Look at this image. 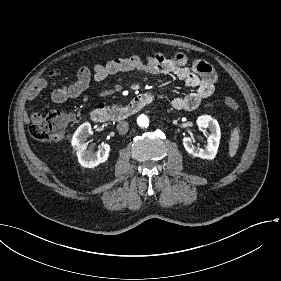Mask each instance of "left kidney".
I'll list each match as a JSON object with an SVG mask.
<instances>
[{"instance_id": "obj_1", "label": "left kidney", "mask_w": 281, "mask_h": 281, "mask_svg": "<svg viewBox=\"0 0 281 281\" xmlns=\"http://www.w3.org/2000/svg\"><path fill=\"white\" fill-rule=\"evenodd\" d=\"M198 128L209 129L210 134L207 139V146L204 149L194 146L190 136L183 137V146L185 150L193 155L194 157H199L202 159L212 160L217 154L220 141V128L218 122L208 115L199 117L196 122Z\"/></svg>"}]
</instances>
